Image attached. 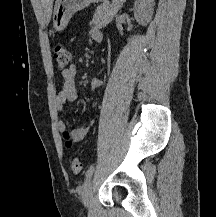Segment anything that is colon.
I'll return each mask as SVG.
<instances>
[{"instance_id":"1","label":"colon","mask_w":216,"mask_h":217,"mask_svg":"<svg viewBox=\"0 0 216 217\" xmlns=\"http://www.w3.org/2000/svg\"><path fill=\"white\" fill-rule=\"evenodd\" d=\"M53 57L58 68L66 69L71 63L72 53L67 47L62 45H57L54 48ZM69 162H70V167L74 173L78 174L82 171V164L78 158L76 157L71 158Z\"/></svg>"}]
</instances>
